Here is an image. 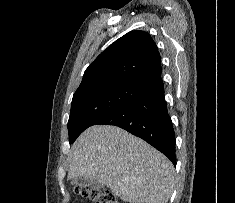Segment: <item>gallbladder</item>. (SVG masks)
Instances as JSON below:
<instances>
[{
  "label": "gallbladder",
  "mask_w": 235,
  "mask_h": 203,
  "mask_svg": "<svg viewBox=\"0 0 235 203\" xmlns=\"http://www.w3.org/2000/svg\"><path fill=\"white\" fill-rule=\"evenodd\" d=\"M73 184L80 187L90 186L91 188H98L101 184V181L90 180L88 178H77L73 180Z\"/></svg>",
  "instance_id": "obj_1"
}]
</instances>
